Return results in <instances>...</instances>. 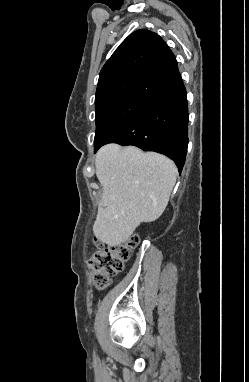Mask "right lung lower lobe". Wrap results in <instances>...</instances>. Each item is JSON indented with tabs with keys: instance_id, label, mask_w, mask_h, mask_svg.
<instances>
[{
	"instance_id": "1",
	"label": "right lung lower lobe",
	"mask_w": 249,
	"mask_h": 382,
	"mask_svg": "<svg viewBox=\"0 0 249 382\" xmlns=\"http://www.w3.org/2000/svg\"><path fill=\"white\" fill-rule=\"evenodd\" d=\"M187 128L186 90L180 77L151 99L129 125L103 145H133L144 151L164 154L175 161L181 173L188 146Z\"/></svg>"
}]
</instances>
